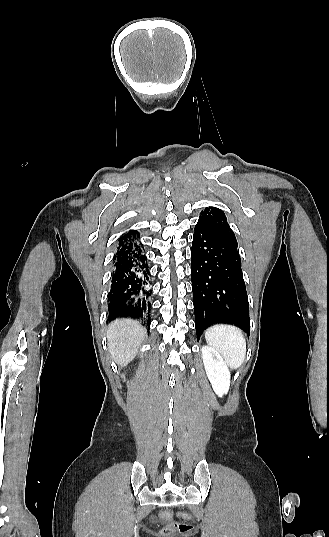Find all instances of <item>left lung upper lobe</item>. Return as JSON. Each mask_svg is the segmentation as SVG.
I'll use <instances>...</instances> for the list:
<instances>
[{"instance_id": "1", "label": "left lung upper lobe", "mask_w": 329, "mask_h": 537, "mask_svg": "<svg viewBox=\"0 0 329 537\" xmlns=\"http://www.w3.org/2000/svg\"><path fill=\"white\" fill-rule=\"evenodd\" d=\"M198 222L203 223L213 231L238 244L234 232L228 225L227 218L222 210L216 207L206 208L201 212Z\"/></svg>"}]
</instances>
